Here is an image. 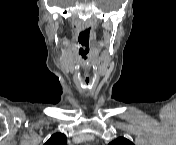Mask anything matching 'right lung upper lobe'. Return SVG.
Listing matches in <instances>:
<instances>
[{"label": "right lung upper lobe", "instance_id": "cb5924a9", "mask_svg": "<svg viewBox=\"0 0 176 145\" xmlns=\"http://www.w3.org/2000/svg\"><path fill=\"white\" fill-rule=\"evenodd\" d=\"M45 145H66V136L62 133L53 134Z\"/></svg>", "mask_w": 176, "mask_h": 145}]
</instances>
